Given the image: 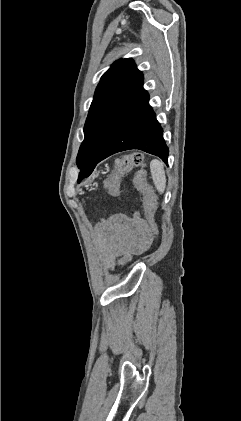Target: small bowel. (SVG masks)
Returning <instances> with one entry per match:
<instances>
[{"label": "small bowel", "instance_id": "obj_1", "mask_svg": "<svg viewBox=\"0 0 241 421\" xmlns=\"http://www.w3.org/2000/svg\"><path fill=\"white\" fill-rule=\"evenodd\" d=\"M95 238L106 267L112 269L117 258L147 251L152 233L137 215H114L98 225Z\"/></svg>", "mask_w": 241, "mask_h": 421}]
</instances>
